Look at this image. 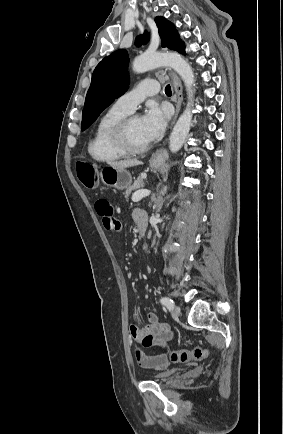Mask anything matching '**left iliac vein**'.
Listing matches in <instances>:
<instances>
[{
	"mask_svg": "<svg viewBox=\"0 0 283 434\" xmlns=\"http://www.w3.org/2000/svg\"><path fill=\"white\" fill-rule=\"evenodd\" d=\"M181 314V309L178 306H174L171 311V315L174 319H178Z\"/></svg>",
	"mask_w": 283,
	"mask_h": 434,
	"instance_id": "1",
	"label": "left iliac vein"
}]
</instances>
